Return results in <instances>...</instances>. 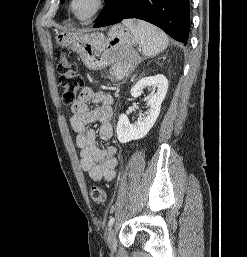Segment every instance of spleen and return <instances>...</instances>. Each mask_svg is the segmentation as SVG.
I'll use <instances>...</instances> for the list:
<instances>
[{"mask_svg":"<svg viewBox=\"0 0 247 257\" xmlns=\"http://www.w3.org/2000/svg\"><path fill=\"white\" fill-rule=\"evenodd\" d=\"M123 24L128 27L146 57L159 54L167 48V35L154 25L141 20L126 19Z\"/></svg>","mask_w":247,"mask_h":257,"instance_id":"spleen-1","label":"spleen"}]
</instances>
